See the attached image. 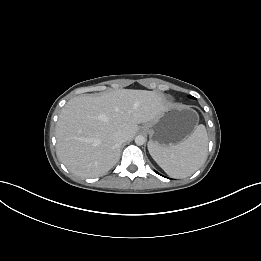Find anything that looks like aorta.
<instances>
[{
  "label": "aorta",
  "instance_id": "obj_1",
  "mask_svg": "<svg viewBox=\"0 0 261 261\" xmlns=\"http://www.w3.org/2000/svg\"><path fill=\"white\" fill-rule=\"evenodd\" d=\"M145 137L144 136H142V135H138V136H136L135 137V143L137 144V145H143L144 143H145Z\"/></svg>",
  "mask_w": 261,
  "mask_h": 261
}]
</instances>
